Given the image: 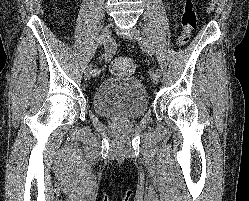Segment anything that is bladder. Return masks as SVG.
<instances>
[{"label":"bladder","mask_w":249,"mask_h":201,"mask_svg":"<svg viewBox=\"0 0 249 201\" xmlns=\"http://www.w3.org/2000/svg\"><path fill=\"white\" fill-rule=\"evenodd\" d=\"M149 98L141 81L134 76L112 77L103 80L93 95V109L101 117L136 119L144 115Z\"/></svg>","instance_id":"31cf9c89"}]
</instances>
